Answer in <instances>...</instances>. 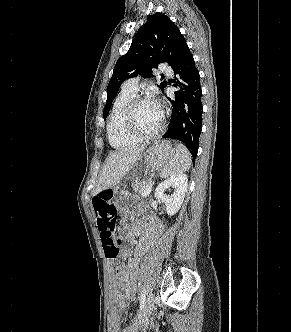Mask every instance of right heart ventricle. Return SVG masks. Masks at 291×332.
Here are the masks:
<instances>
[{"mask_svg": "<svg viewBox=\"0 0 291 332\" xmlns=\"http://www.w3.org/2000/svg\"><path fill=\"white\" fill-rule=\"evenodd\" d=\"M136 97L135 93L122 89L116 97L107 124V135L112 147L116 149L135 145L140 140L132 137L125 128V116L130 102Z\"/></svg>", "mask_w": 291, "mask_h": 332, "instance_id": "e07e8e85", "label": "right heart ventricle"}]
</instances>
